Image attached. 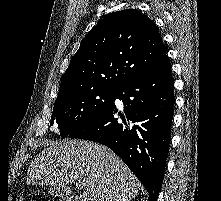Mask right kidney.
Here are the masks:
<instances>
[{
	"mask_svg": "<svg viewBox=\"0 0 221 201\" xmlns=\"http://www.w3.org/2000/svg\"><path fill=\"white\" fill-rule=\"evenodd\" d=\"M117 201H130L128 198H119Z\"/></svg>",
	"mask_w": 221,
	"mask_h": 201,
	"instance_id": "ca27d5eb",
	"label": "right kidney"
}]
</instances>
